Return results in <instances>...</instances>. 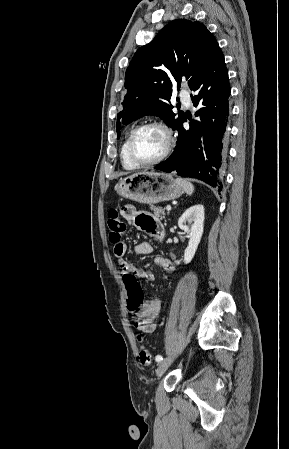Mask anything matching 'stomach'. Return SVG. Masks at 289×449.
<instances>
[{
	"mask_svg": "<svg viewBox=\"0 0 289 449\" xmlns=\"http://www.w3.org/2000/svg\"><path fill=\"white\" fill-rule=\"evenodd\" d=\"M114 189L118 195L143 204L174 200L183 193L172 175L153 171L121 178Z\"/></svg>",
	"mask_w": 289,
	"mask_h": 449,
	"instance_id": "1",
	"label": "stomach"
}]
</instances>
